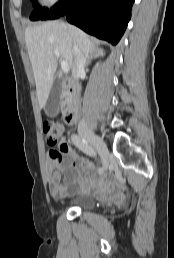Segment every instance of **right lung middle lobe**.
<instances>
[{
    "instance_id": "1",
    "label": "right lung middle lobe",
    "mask_w": 174,
    "mask_h": 258,
    "mask_svg": "<svg viewBox=\"0 0 174 258\" xmlns=\"http://www.w3.org/2000/svg\"><path fill=\"white\" fill-rule=\"evenodd\" d=\"M35 10L32 12L30 19L33 21L40 20L48 12V8H42L35 0H32Z\"/></svg>"
}]
</instances>
